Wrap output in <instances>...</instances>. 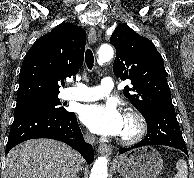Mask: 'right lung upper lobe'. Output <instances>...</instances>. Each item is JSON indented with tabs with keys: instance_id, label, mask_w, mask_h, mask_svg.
Wrapping results in <instances>:
<instances>
[{
	"instance_id": "1",
	"label": "right lung upper lobe",
	"mask_w": 194,
	"mask_h": 178,
	"mask_svg": "<svg viewBox=\"0 0 194 178\" xmlns=\"http://www.w3.org/2000/svg\"><path fill=\"white\" fill-rule=\"evenodd\" d=\"M85 44L86 32L69 23L36 40L21 66L17 102L58 96L64 80L81 68Z\"/></svg>"
}]
</instances>
